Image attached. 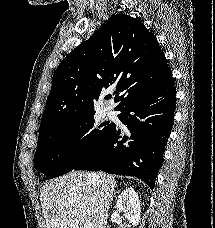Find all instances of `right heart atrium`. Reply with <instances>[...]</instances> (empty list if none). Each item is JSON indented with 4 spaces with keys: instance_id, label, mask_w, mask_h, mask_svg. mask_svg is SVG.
<instances>
[{
    "instance_id": "d8ad5b80",
    "label": "right heart atrium",
    "mask_w": 215,
    "mask_h": 228,
    "mask_svg": "<svg viewBox=\"0 0 215 228\" xmlns=\"http://www.w3.org/2000/svg\"><path fill=\"white\" fill-rule=\"evenodd\" d=\"M84 138H85V135H78V136L76 137V144L82 143L83 140H84Z\"/></svg>"
}]
</instances>
